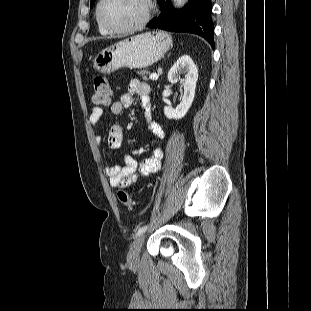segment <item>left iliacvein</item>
<instances>
[{
	"mask_svg": "<svg viewBox=\"0 0 311 311\" xmlns=\"http://www.w3.org/2000/svg\"><path fill=\"white\" fill-rule=\"evenodd\" d=\"M145 236L140 235L131 245V248L128 253V262L138 263L140 260V252L144 243Z\"/></svg>",
	"mask_w": 311,
	"mask_h": 311,
	"instance_id": "left-iliac-vein-1",
	"label": "left iliac vein"
}]
</instances>
